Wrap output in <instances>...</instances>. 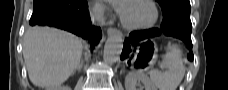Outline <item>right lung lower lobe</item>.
I'll return each mask as SVG.
<instances>
[{
    "label": "right lung lower lobe",
    "mask_w": 228,
    "mask_h": 90,
    "mask_svg": "<svg viewBox=\"0 0 228 90\" xmlns=\"http://www.w3.org/2000/svg\"><path fill=\"white\" fill-rule=\"evenodd\" d=\"M85 0H34L30 25H47L72 32L94 47L101 39L99 27L91 25Z\"/></svg>",
    "instance_id": "1"
}]
</instances>
